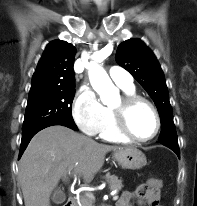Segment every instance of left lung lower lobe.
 Listing matches in <instances>:
<instances>
[{
	"label": "left lung lower lobe",
	"instance_id": "0a47b994",
	"mask_svg": "<svg viewBox=\"0 0 197 206\" xmlns=\"http://www.w3.org/2000/svg\"><path fill=\"white\" fill-rule=\"evenodd\" d=\"M159 143L173 150L180 158V150H179L178 142L166 141V142H159Z\"/></svg>",
	"mask_w": 197,
	"mask_h": 206
}]
</instances>
